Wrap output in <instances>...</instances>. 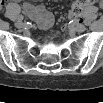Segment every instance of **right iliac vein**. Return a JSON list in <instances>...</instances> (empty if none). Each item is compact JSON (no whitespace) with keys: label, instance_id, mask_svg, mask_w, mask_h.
Segmentation results:
<instances>
[{"label":"right iliac vein","instance_id":"obj_1","mask_svg":"<svg viewBox=\"0 0 103 103\" xmlns=\"http://www.w3.org/2000/svg\"><path fill=\"white\" fill-rule=\"evenodd\" d=\"M15 26H16L17 28H23V27L25 26V24H24L22 21H17V22L15 23Z\"/></svg>","mask_w":103,"mask_h":103}]
</instances>
